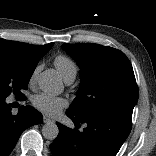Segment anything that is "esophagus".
Here are the masks:
<instances>
[{"instance_id": "1", "label": "esophagus", "mask_w": 156, "mask_h": 156, "mask_svg": "<svg viewBox=\"0 0 156 156\" xmlns=\"http://www.w3.org/2000/svg\"><path fill=\"white\" fill-rule=\"evenodd\" d=\"M43 122H44V123H51V122H53V120L50 119L49 117H47L46 115H44V116H43Z\"/></svg>"}]
</instances>
